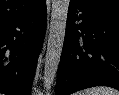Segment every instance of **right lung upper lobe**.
Masks as SVG:
<instances>
[{
  "label": "right lung upper lobe",
  "instance_id": "cb5924a9",
  "mask_svg": "<svg viewBox=\"0 0 119 95\" xmlns=\"http://www.w3.org/2000/svg\"><path fill=\"white\" fill-rule=\"evenodd\" d=\"M42 1L43 0H0V25L30 12Z\"/></svg>",
  "mask_w": 119,
  "mask_h": 95
}]
</instances>
